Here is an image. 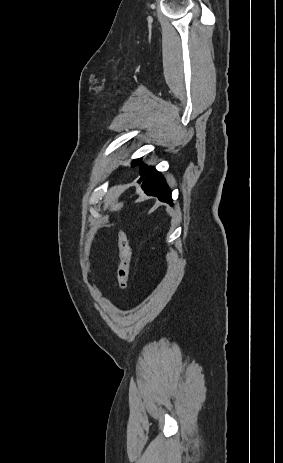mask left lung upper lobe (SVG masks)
<instances>
[{
    "label": "left lung upper lobe",
    "mask_w": 283,
    "mask_h": 463,
    "mask_svg": "<svg viewBox=\"0 0 283 463\" xmlns=\"http://www.w3.org/2000/svg\"><path fill=\"white\" fill-rule=\"evenodd\" d=\"M139 160H140V159L133 160V162H132V167L136 166Z\"/></svg>",
    "instance_id": "left-lung-upper-lobe-1"
}]
</instances>
